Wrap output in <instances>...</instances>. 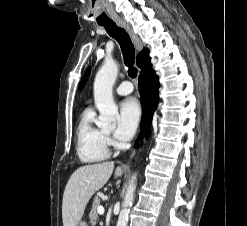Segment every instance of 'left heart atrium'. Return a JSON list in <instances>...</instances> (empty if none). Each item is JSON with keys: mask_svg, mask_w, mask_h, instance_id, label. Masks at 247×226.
Returning <instances> with one entry per match:
<instances>
[{"mask_svg": "<svg viewBox=\"0 0 247 226\" xmlns=\"http://www.w3.org/2000/svg\"><path fill=\"white\" fill-rule=\"evenodd\" d=\"M140 116L141 108L136 98L129 97L123 100L119 110L117 137L121 140L130 139L138 127Z\"/></svg>", "mask_w": 247, "mask_h": 226, "instance_id": "left-heart-atrium-1", "label": "left heart atrium"}]
</instances>
